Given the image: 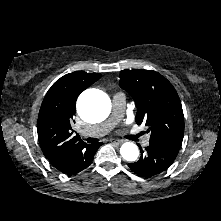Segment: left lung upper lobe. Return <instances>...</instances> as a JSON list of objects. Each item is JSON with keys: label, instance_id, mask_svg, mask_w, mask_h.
Instances as JSON below:
<instances>
[{"label": "left lung upper lobe", "instance_id": "obj_1", "mask_svg": "<svg viewBox=\"0 0 221 221\" xmlns=\"http://www.w3.org/2000/svg\"><path fill=\"white\" fill-rule=\"evenodd\" d=\"M119 85L128 91L137 107V124L145 123L150 141L181 147L184 115L179 96L172 84L153 70L120 72Z\"/></svg>", "mask_w": 221, "mask_h": 221}]
</instances>
